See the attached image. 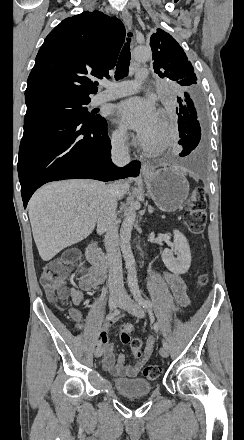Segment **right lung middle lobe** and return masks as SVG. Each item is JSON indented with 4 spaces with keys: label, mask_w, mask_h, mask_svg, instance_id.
<instances>
[{
    "label": "right lung middle lobe",
    "mask_w": 244,
    "mask_h": 440,
    "mask_svg": "<svg viewBox=\"0 0 244 440\" xmlns=\"http://www.w3.org/2000/svg\"><path fill=\"white\" fill-rule=\"evenodd\" d=\"M27 110L33 108L51 109L72 117L91 121L95 117L87 111L90 98H73L62 96H38L25 99Z\"/></svg>",
    "instance_id": "1"
}]
</instances>
